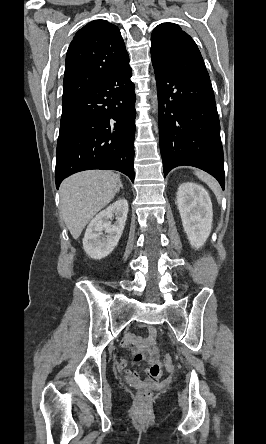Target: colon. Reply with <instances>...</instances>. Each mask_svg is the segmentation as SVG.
<instances>
[{
    "instance_id": "obj_1",
    "label": "colon",
    "mask_w": 266,
    "mask_h": 444,
    "mask_svg": "<svg viewBox=\"0 0 266 444\" xmlns=\"http://www.w3.org/2000/svg\"><path fill=\"white\" fill-rule=\"evenodd\" d=\"M164 364L168 370H173L174 365L170 356L167 355L164 357ZM151 396L152 393L149 389H141L137 394V398L140 404L147 403L150 400Z\"/></svg>"
}]
</instances>
